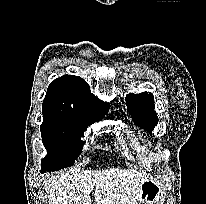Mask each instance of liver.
Returning a JSON list of instances; mask_svg holds the SVG:
<instances>
[{
	"label": "liver",
	"instance_id": "liver-1",
	"mask_svg": "<svg viewBox=\"0 0 206 204\" xmlns=\"http://www.w3.org/2000/svg\"><path fill=\"white\" fill-rule=\"evenodd\" d=\"M146 179L132 168L71 169L49 177L44 187L50 194L49 204H91L94 187L97 204H135Z\"/></svg>",
	"mask_w": 206,
	"mask_h": 204
}]
</instances>
